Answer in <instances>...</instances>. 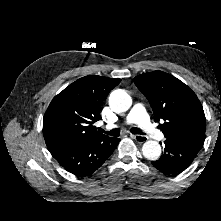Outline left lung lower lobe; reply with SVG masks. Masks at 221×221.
<instances>
[{"instance_id": "0a47b994", "label": "left lung lower lobe", "mask_w": 221, "mask_h": 221, "mask_svg": "<svg viewBox=\"0 0 221 221\" xmlns=\"http://www.w3.org/2000/svg\"><path fill=\"white\" fill-rule=\"evenodd\" d=\"M205 136L167 138L163 156L152 165L166 175H175L190 166L203 146Z\"/></svg>"}]
</instances>
